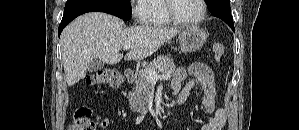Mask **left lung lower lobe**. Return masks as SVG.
<instances>
[{"label":"left lung lower lobe","instance_id":"obj_1","mask_svg":"<svg viewBox=\"0 0 299 130\" xmlns=\"http://www.w3.org/2000/svg\"><path fill=\"white\" fill-rule=\"evenodd\" d=\"M209 11L216 17L221 18L224 22H226L233 31H235L234 29V23H233V19H232V15L228 14V15H223L221 12H217L214 10H211L210 8H208Z\"/></svg>","mask_w":299,"mask_h":130}]
</instances>
